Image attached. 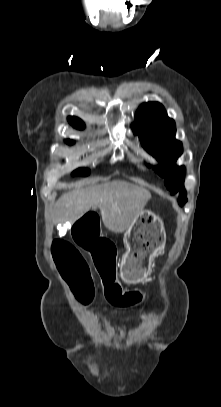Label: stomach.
Instances as JSON below:
<instances>
[{"label":"stomach","mask_w":221,"mask_h":407,"mask_svg":"<svg viewBox=\"0 0 221 407\" xmlns=\"http://www.w3.org/2000/svg\"><path fill=\"white\" fill-rule=\"evenodd\" d=\"M165 242L163 222L152 211L143 209L124 234L126 252L120 262L122 278L130 283L145 279L153 260L164 252Z\"/></svg>","instance_id":"1"}]
</instances>
